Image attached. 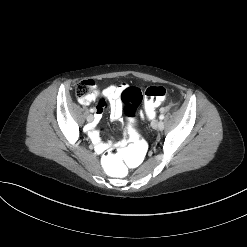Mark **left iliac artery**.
Returning <instances> with one entry per match:
<instances>
[{
	"instance_id": "left-iliac-artery-1",
	"label": "left iliac artery",
	"mask_w": 247,
	"mask_h": 247,
	"mask_svg": "<svg viewBox=\"0 0 247 247\" xmlns=\"http://www.w3.org/2000/svg\"><path fill=\"white\" fill-rule=\"evenodd\" d=\"M159 119H160V120H163V119H164V115L161 114V115L159 116Z\"/></svg>"
}]
</instances>
